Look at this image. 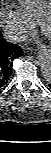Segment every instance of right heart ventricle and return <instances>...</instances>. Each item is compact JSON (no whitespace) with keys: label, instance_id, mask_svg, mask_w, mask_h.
I'll return each mask as SVG.
<instances>
[{"label":"right heart ventricle","instance_id":"obj_1","mask_svg":"<svg viewBox=\"0 0 51 153\" xmlns=\"http://www.w3.org/2000/svg\"><path fill=\"white\" fill-rule=\"evenodd\" d=\"M18 8L28 20L36 23L51 8V0H18Z\"/></svg>","mask_w":51,"mask_h":153}]
</instances>
